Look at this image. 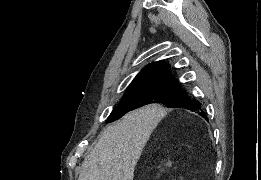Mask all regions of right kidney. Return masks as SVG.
Returning <instances> with one entry per match:
<instances>
[{"instance_id":"ca27d5eb","label":"right kidney","mask_w":261,"mask_h":180,"mask_svg":"<svg viewBox=\"0 0 261 180\" xmlns=\"http://www.w3.org/2000/svg\"><path fill=\"white\" fill-rule=\"evenodd\" d=\"M166 166H169V168H170L171 162H167Z\"/></svg>"}]
</instances>
